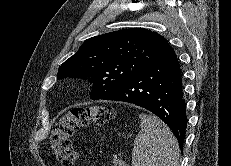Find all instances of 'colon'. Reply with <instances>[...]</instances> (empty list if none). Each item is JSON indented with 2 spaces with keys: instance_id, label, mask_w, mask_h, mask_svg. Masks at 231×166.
Returning a JSON list of instances; mask_svg holds the SVG:
<instances>
[{
  "instance_id": "1",
  "label": "colon",
  "mask_w": 231,
  "mask_h": 166,
  "mask_svg": "<svg viewBox=\"0 0 231 166\" xmlns=\"http://www.w3.org/2000/svg\"><path fill=\"white\" fill-rule=\"evenodd\" d=\"M114 119V110L109 105H92L75 107L64 114L54 125L51 135V148L62 166H74L75 153L71 137L81 127L90 122L97 125L106 124Z\"/></svg>"
}]
</instances>
